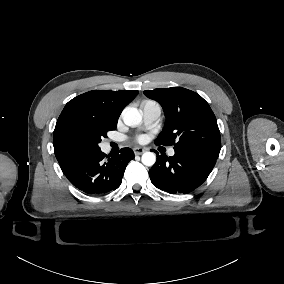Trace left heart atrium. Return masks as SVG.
I'll list each match as a JSON object with an SVG mask.
<instances>
[{"instance_id":"obj_1","label":"left heart atrium","mask_w":284,"mask_h":284,"mask_svg":"<svg viewBox=\"0 0 284 284\" xmlns=\"http://www.w3.org/2000/svg\"><path fill=\"white\" fill-rule=\"evenodd\" d=\"M137 140H138V142H140V143H143L144 141H145V136H139L138 138H137Z\"/></svg>"}]
</instances>
